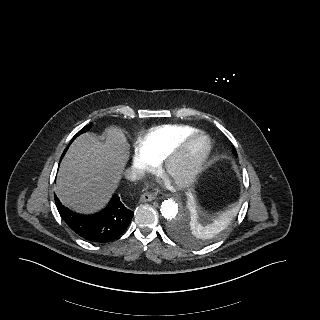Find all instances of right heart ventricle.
<instances>
[{
	"instance_id": "e07e8e85",
	"label": "right heart ventricle",
	"mask_w": 320,
	"mask_h": 320,
	"mask_svg": "<svg viewBox=\"0 0 320 320\" xmlns=\"http://www.w3.org/2000/svg\"><path fill=\"white\" fill-rule=\"evenodd\" d=\"M196 131L187 125L158 126L145 135L137 143L138 150L155 163L164 159L187 135Z\"/></svg>"
}]
</instances>
